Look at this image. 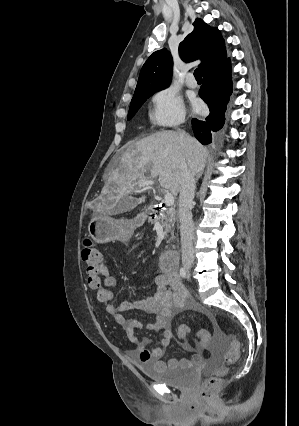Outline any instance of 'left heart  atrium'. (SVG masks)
<instances>
[{"label":"left heart atrium","instance_id":"obj_1","mask_svg":"<svg viewBox=\"0 0 299 426\" xmlns=\"http://www.w3.org/2000/svg\"><path fill=\"white\" fill-rule=\"evenodd\" d=\"M193 108L195 111H199L201 109V105L198 101H193Z\"/></svg>","mask_w":299,"mask_h":426}]
</instances>
